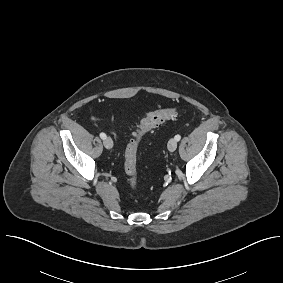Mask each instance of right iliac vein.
Masks as SVG:
<instances>
[{
  "mask_svg": "<svg viewBox=\"0 0 283 283\" xmlns=\"http://www.w3.org/2000/svg\"><path fill=\"white\" fill-rule=\"evenodd\" d=\"M103 144L107 149H111L113 147V141L110 137L105 138Z\"/></svg>",
  "mask_w": 283,
  "mask_h": 283,
  "instance_id": "1",
  "label": "right iliac vein"
}]
</instances>
